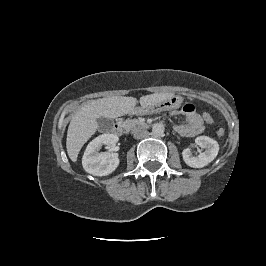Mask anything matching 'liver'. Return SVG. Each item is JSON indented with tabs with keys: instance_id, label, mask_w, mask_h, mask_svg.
Returning <instances> with one entry per match:
<instances>
[{
	"instance_id": "obj_1",
	"label": "liver",
	"mask_w": 266,
	"mask_h": 266,
	"mask_svg": "<svg viewBox=\"0 0 266 266\" xmlns=\"http://www.w3.org/2000/svg\"><path fill=\"white\" fill-rule=\"evenodd\" d=\"M173 93H154L140 98L141 106H149L171 98ZM137 103L134 97L113 96L84 104L72 117L67 131L66 148L69 158L76 162L82 146L98 129L100 117L114 119L132 113Z\"/></svg>"
}]
</instances>
